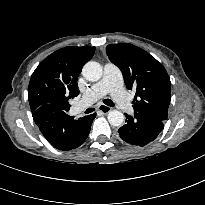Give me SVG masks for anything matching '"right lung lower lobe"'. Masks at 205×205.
Returning a JSON list of instances; mask_svg holds the SVG:
<instances>
[{
  "instance_id": "98d812e1",
  "label": "right lung lower lobe",
  "mask_w": 205,
  "mask_h": 205,
  "mask_svg": "<svg viewBox=\"0 0 205 205\" xmlns=\"http://www.w3.org/2000/svg\"><path fill=\"white\" fill-rule=\"evenodd\" d=\"M54 104H44L32 112L33 119L48 142L59 150L79 147L88 137L96 113L75 120Z\"/></svg>"
}]
</instances>
